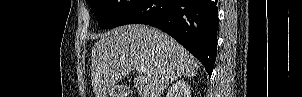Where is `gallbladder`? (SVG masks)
<instances>
[{
  "label": "gallbladder",
  "mask_w": 302,
  "mask_h": 97,
  "mask_svg": "<svg viewBox=\"0 0 302 97\" xmlns=\"http://www.w3.org/2000/svg\"><path fill=\"white\" fill-rule=\"evenodd\" d=\"M131 90L126 85H116L109 92L110 97H127Z\"/></svg>",
  "instance_id": "obj_1"
}]
</instances>
